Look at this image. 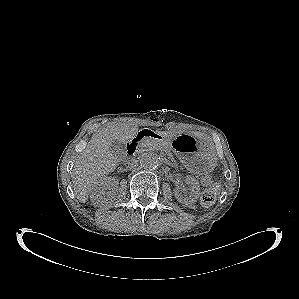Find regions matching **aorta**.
I'll return each instance as SVG.
<instances>
[{
    "label": "aorta",
    "mask_w": 299,
    "mask_h": 299,
    "mask_svg": "<svg viewBox=\"0 0 299 299\" xmlns=\"http://www.w3.org/2000/svg\"><path fill=\"white\" fill-rule=\"evenodd\" d=\"M141 165L145 169H155L160 165V158L155 153H146L141 158Z\"/></svg>",
    "instance_id": "aorta-1"
}]
</instances>
